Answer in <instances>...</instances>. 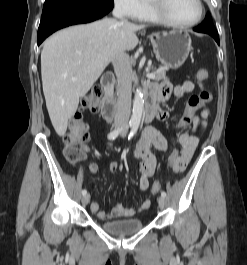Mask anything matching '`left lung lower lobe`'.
Wrapping results in <instances>:
<instances>
[{"instance_id": "1", "label": "left lung lower lobe", "mask_w": 247, "mask_h": 265, "mask_svg": "<svg viewBox=\"0 0 247 265\" xmlns=\"http://www.w3.org/2000/svg\"><path fill=\"white\" fill-rule=\"evenodd\" d=\"M193 30L196 32L207 33L211 35L216 40V42L219 44L218 33L215 27L213 26L212 20L209 17V15H207L206 19L198 27H195Z\"/></svg>"}]
</instances>
